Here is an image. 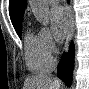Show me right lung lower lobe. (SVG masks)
<instances>
[{"mask_svg":"<svg viewBox=\"0 0 89 89\" xmlns=\"http://www.w3.org/2000/svg\"><path fill=\"white\" fill-rule=\"evenodd\" d=\"M74 64V46L71 44L67 55H63L58 65L57 75L66 85H71Z\"/></svg>","mask_w":89,"mask_h":89,"instance_id":"98d812e1","label":"right lung lower lobe"}]
</instances>
